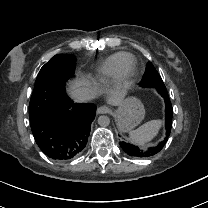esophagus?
Listing matches in <instances>:
<instances>
[{
  "instance_id": "obj_1",
  "label": "esophagus",
  "mask_w": 208,
  "mask_h": 208,
  "mask_svg": "<svg viewBox=\"0 0 208 208\" xmlns=\"http://www.w3.org/2000/svg\"><path fill=\"white\" fill-rule=\"evenodd\" d=\"M98 114H108L110 113V109L106 106H101L97 109Z\"/></svg>"
}]
</instances>
